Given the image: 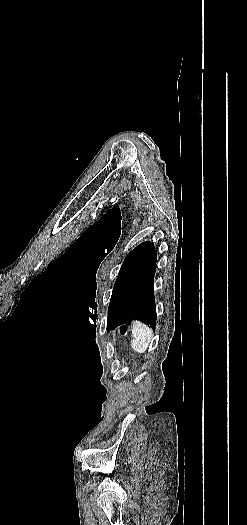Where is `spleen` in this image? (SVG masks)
Listing matches in <instances>:
<instances>
[{
  "mask_svg": "<svg viewBox=\"0 0 247 525\" xmlns=\"http://www.w3.org/2000/svg\"><path fill=\"white\" fill-rule=\"evenodd\" d=\"M151 329L145 325V323H140V321H133L132 323V341L131 347L136 353H144L148 349L152 341Z\"/></svg>",
  "mask_w": 247,
  "mask_h": 525,
  "instance_id": "obj_1",
  "label": "spleen"
}]
</instances>
